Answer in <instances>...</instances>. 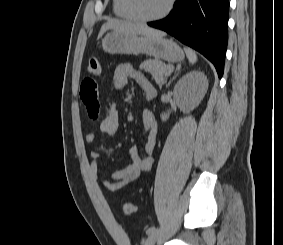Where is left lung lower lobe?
<instances>
[{"label": "left lung lower lobe", "mask_w": 283, "mask_h": 245, "mask_svg": "<svg viewBox=\"0 0 283 245\" xmlns=\"http://www.w3.org/2000/svg\"><path fill=\"white\" fill-rule=\"evenodd\" d=\"M229 0H176L170 14L148 25L166 31L209 59L222 77L228 41Z\"/></svg>", "instance_id": "1"}]
</instances>
